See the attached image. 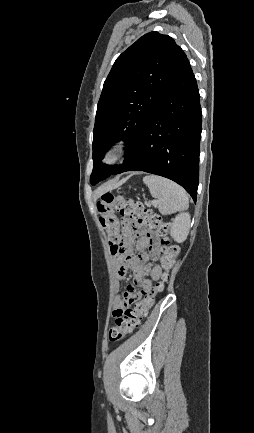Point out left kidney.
<instances>
[{"label":"left kidney","instance_id":"left-kidney-1","mask_svg":"<svg viewBox=\"0 0 254 433\" xmlns=\"http://www.w3.org/2000/svg\"><path fill=\"white\" fill-rule=\"evenodd\" d=\"M190 228V215L189 213H180L174 219L170 230L172 238L182 243L186 240Z\"/></svg>","mask_w":254,"mask_h":433}]
</instances>
